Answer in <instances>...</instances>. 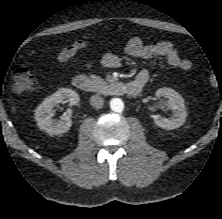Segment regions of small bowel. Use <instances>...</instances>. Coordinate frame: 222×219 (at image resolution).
Listing matches in <instances>:
<instances>
[{
    "mask_svg": "<svg viewBox=\"0 0 222 219\" xmlns=\"http://www.w3.org/2000/svg\"><path fill=\"white\" fill-rule=\"evenodd\" d=\"M87 45L88 41L85 39L77 40L68 45L58 54L59 62L64 64L74 62L77 53L85 49ZM125 50L129 55L141 59L147 60L153 57H159L165 60L170 66L183 72H188L193 67L190 60L180 57L176 48L169 41L146 44L141 38L133 37L127 42ZM101 63L105 67L118 68L121 66V59L115 52L109 51L102 56ZM146 80L147 77L145 74H139L133 82L143 86Z\"/></svg>",
    "mask_w": 222,
    "mask_h": 219,
    "instance_id": "obj_1",
    "label": "small bowel"
}]
</instances>
